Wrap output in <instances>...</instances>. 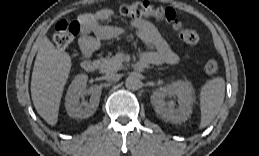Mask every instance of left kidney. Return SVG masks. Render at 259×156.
Listing matches in <instances>:
<instances>
[{
	"label": "left kidney",
	"instance_id": "1",
	"mask_svg": "<svg viewBox=\"0 0 259 156\" xmlns=\"http://www.w3.org/2000/svg\"><path fill=\"white\" fill-rule=\"evenodd\" d=\"M193 86L189 81L177 80L161 87L151 95L155 112L172 123L185 122L192 113ZM177 97L178 107L167 106L166 97Z\"/></svg>",
	"mask_w": 259,
	"mask_h": 156
}]
</instances>
